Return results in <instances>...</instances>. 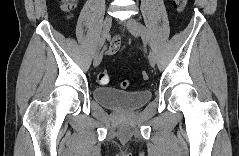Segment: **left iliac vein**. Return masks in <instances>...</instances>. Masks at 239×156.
I'll return each instance as SVG.
<instances>
[{"label": "left iliac vein", "mask_w": 239, "mask_h": 156, "mask_svg": "<svg viewBox=\"0 0 239 156\" xmlns=\"http://www.w3.org/2000/svg\"><path fill=\"white\" fill-rule=\"evenodd\" d=\"M125 25L133 36H135V37L141 36L142 33L140 30V24L135 19H132V18L128 19L125 22ZM148 59H149L150 65L155 66L156 59H155V55L152 51L149 52Z\"/></svg>", "instance_id": "4c4485c4"}]
</instances>
